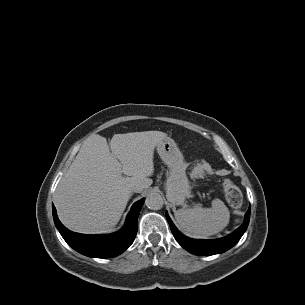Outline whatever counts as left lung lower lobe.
I'll use <instances>...</instances> for the list:
<instances>
[{"instance_id": "0a47b994", "label": "left lung lower lobe", "mask_w": 305, "mask_h": 305, "mask_svg": "<svg viewBox=\"0 0 305 305\" xmlns=\"http://www.w3.org/2000/svg\"><path fill=\"white\" fill-rule=\"evenodd\" d=\"M166 218L174 238L184 249L195 255L208 256L223 253L232 248L240 240L249 224L250 208L246 212L244 223L235 232L229 234L227 237L215 240H195L188 238L176 229L167 213Z\"/></svg>"}]
</instances>
